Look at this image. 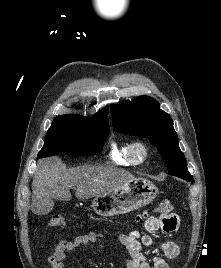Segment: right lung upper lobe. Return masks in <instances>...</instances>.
<instances>
[{"label":"right lung upper lobe","instance_id":"right-lung-upper-lobe-1","mask_svg":"<svg viewBox=\"0 0 221 268\" xmlns=\"http://www.w3.org/2000/svg\"><path fill=\"white\" fill-rule=\"evenodd\" d=\"M107 114H108V108H104L93 117H84L80 115H66V116L76 117V118L85 120L89 123H93L97 125L109 126Z\"/></svg>","mask_w":221,"mask_h":268}]
</instances>
